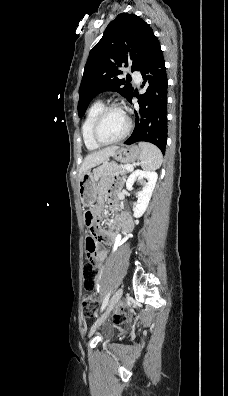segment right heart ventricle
Returning a JSON list of instances; mask_svg holds the SVG:
<instances>
[{
	"mask_svg": "<svg viewBox=\"0 0 228 396\" xmlns=\"http://www.w3.org/2000/svg\"><path fill=\"white\" fill-rule=\"evenodd\" d=\"M103 107L104 104L101 100L94 101L89 107L86 116L84 118V121L82 123V128H81L82 138L86 148L91 151L100 148V145H98L92 138V126L97 114L100 112V110Z\"/></svg>",
	"mask_w": 228,
	"mask_h": 396,
	"instance_id": "1",
	"label": "right heart ventricle"
}]
</instances>
